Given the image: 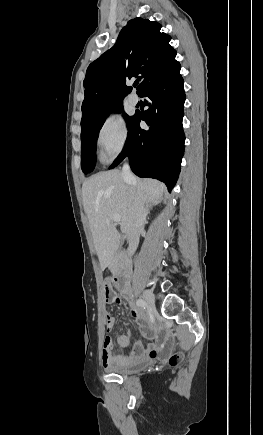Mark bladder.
Returning a JSON list of instances; mask_svg holds the SVG:
<instances>
[{
	"mask_svg": "<svg viewBox=\"0 0 263 435\" xmlns=\"http://www.w3.org/2000/svg\"><path fill=\"white\" fill-rule=\"evenodd\" d=\"M151 363L150 360H140L132 363L116 365L110 369L111 372L121 375L136 373Z\"/></svg>",
	"mask_w": 263,
	"mask_h": 435,
	"instance_id": "1",
	"label": "bladder"
}]
</instances>
